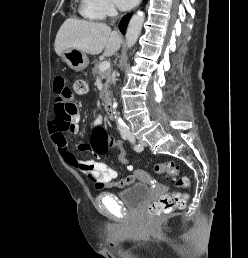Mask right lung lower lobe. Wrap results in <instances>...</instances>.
<instances>
[{"label": "right lung lower lobe", "instance_id": "right-lung-lower-lobe-1", "mask_svg": "<svg viewBox=\"0 0 248 258\" xmlns=\"http://www.w3.org/2000/svg\"><path fill=\"white\" fill-rule=\"evenodd\" d=\"M130 18H131V14L125 15V16L123 17V19L121 20L120 24H119V29H120V31H121L123 34H125V29H126V27H127V24H128V22H129Z\"/></svg>", "mask_w": 248, "mask_h": 258}]
</instances>
